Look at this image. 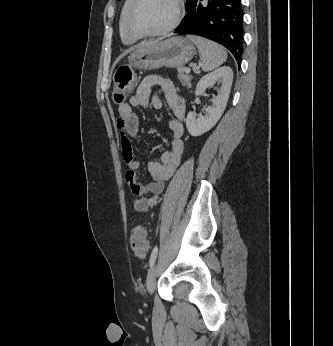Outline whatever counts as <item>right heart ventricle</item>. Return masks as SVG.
Segmentation results:
<instances>
[{
    "label": "right heart ventricle",
    "mask_w": 333,
    "mask_h": 346,
    "mask_svg": "<svg viewBox=\"0 0 333 346\" xmlns=\"http://www.w3.org/2000/svg\"><path fill=\"white\" fill-rule=\"evenodd\" d=\"M131 3H132V0H124V3L122 5V8L119 14V19H118L119 34H120L122 42L126 44H132L136 42L138 39V37H135L129 34L125 27L126 15Z\"/></svg>",
    "instance_id": "obj_1"
}]
</instances>
